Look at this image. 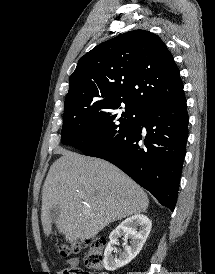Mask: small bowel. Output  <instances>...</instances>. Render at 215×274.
Returning a JSON list of instances; mask_svg holds the SVG:
<instances>
[{
    "label": "small bowel",
    "mask_w": 215,
    "mask_h": 274,
    "mask_svg": "<svg viewBox=\"0 0 215 274\" xmlns=\"http://www.w3.org/2000/svg\"><path fill=\"white\" fill-rule=\"evenodd\" d=\"M78 263H79V259L78 258H72V259H70L68 261L69 268L61 270L57 274H68V272L71 271V270H79V268L77 267ZM101 274H107V273L103 272Z\"/></svg>",
    "instance_id": "obj_1"
}]
</instances>
